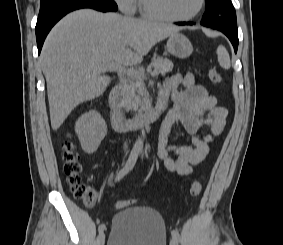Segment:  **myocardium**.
I'll return each instance as SVG.
<instances>
[{"mask_svg": "<svg viewBox=\"0 0 283 245\" xmlns=\"http://www.w3.org/2000/svg\"><path fill=\"white\" fill-rule=\"evenodd\" d=\"M205 3H206V0H199V4L196 10L187 16L170 17V16L163 15L161 13H158L152 10L151 8H149L146 0H140L141 10L145 17L152 19V20L163 21V22H173V23L187 22V21L194 19L196 16H198L201 13V11L203 10L205 6Z\"/></svg>", "mask_w": 283, "mask_h": 245, "instance_id": "f54148a6", "label": "myocardium"}]
</instances>
